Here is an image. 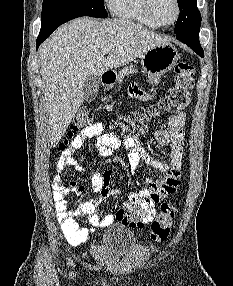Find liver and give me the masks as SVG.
Wrapping results in <instances>:
<instances>
[{"label":"liver","mask_w":233,"mask_h":286,"mask_svg":"<svg viewBox=\"0 0 233 286\" xmlns=\"http://www.w3.org/2000/svg\"><path fill=\"white\" fill-rule=\"evenodd\" d=\"M165 43L166 37L126 19L83 17L59 27L39 48L51 146L60 142L84 102L88 75L101 76ZM106 46L113 48L104 52Z\"/></svg>","instance_id":"1"}]
</instances>
